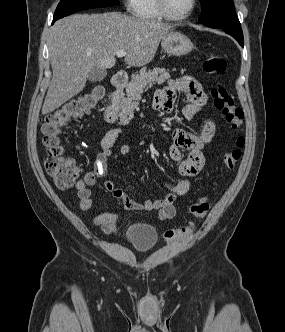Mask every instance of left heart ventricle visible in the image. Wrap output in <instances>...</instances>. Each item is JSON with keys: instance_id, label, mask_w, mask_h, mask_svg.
Listing matches in <instances>:
<instances>
[{"instance_id": "b2bd125f", "label": "left heart ventricle", "mask_w": 285, "mask_h": 332, "mask_svg": "<svg viewBox=\"0 0 285 332\" xmlns=\"http://www.w3.org/2000/svg\"><path fill=\"white\" fill-rule=\"evenodd\" d=\"M169 11L173 15L184 14L191 5V0H166Z\"/></svg>"}]
</instances>
